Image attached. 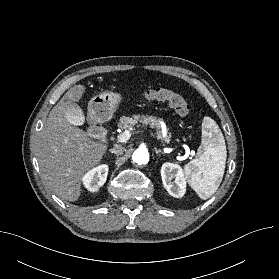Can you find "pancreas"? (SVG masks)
Wrapping results in <instances>:
<instances>
[{"mask_svg": "<svg viewBox=\"0 0 279 279\" xmlns=\"http://www.w3.org/2000/svg\"><path fill=\"white\" fill-rule=\"evenodd\" d=\"M142 124L143 127L150 126L151 128L156 129L157 135H161V123L154 116H145V115H133V117H121L118 123V127L122 130L133 131L135 126L140 127ZM166 141H170V136L166 138Z\"/></svg>", "mask_w": 279, "mask_h": 279, "instance_id": "cf45deb5", "label": "pancreas"}]
</instances>
